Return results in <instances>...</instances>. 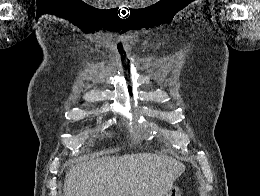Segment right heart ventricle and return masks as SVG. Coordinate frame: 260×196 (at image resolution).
Here are the masks:
<instances>
[{
    "mask_svg": "<svg viewBox=\"0 0 260 196\" xmlns=\"http://www.w3.org/2000/svg\"><path fill=\"white\" fill-rule=\"evenodd\" d=\"M115 192H153V190H115Z\"/></svg>",
    "mask_w": 260,
    "mask_h": 196,
    "instance_id": "1",
    "label": "right heart ventricle"
}]
</instances>
